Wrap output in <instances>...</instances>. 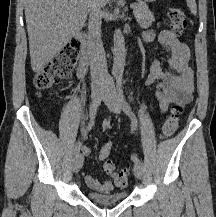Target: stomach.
<instances>
[{
	"instance_id": "stomach-1",
	"label": "stomach",
	"mask_w": 216,
	"mask_h": 217,
	"mask_svg": "<svg viewBox=\"0 0 216 217\" xmlns=\"http://www.w3.org/2000/svg\"><path fill=\"white\" fill-rule=\"evenodd\" d=\"M156 0H144V2H155Z\"/></svg>"
}]
</instances>
